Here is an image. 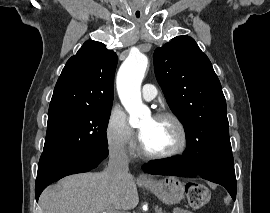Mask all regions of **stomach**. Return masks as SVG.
Instances as JSON below:
<instances>
[{"instance_id": "0dacf381", "label": "stomach", "mask_w": 270, "mask_h": 213, "mask_svg": "<svg viewBox=\"0 0 270 213\" xmlns=\"http://www.w3.org/2000/svg\"><path fill=\"white\" fill-rule=\"evenodd\" d=\"M144 186L168 205L180 202L184 196V183L173 176H167L160 180L144 183Z\"/></svg>"}]
</instances>
